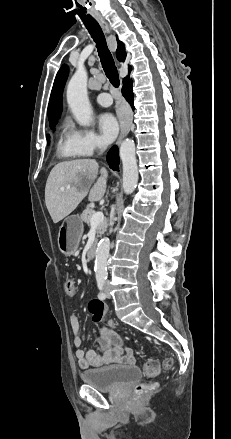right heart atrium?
<instances>
[{
	"mask_svg": "<svg viewBox=\"0 0 231 439\" xmlns=\"http://www.w3.org/2000/svg\"><path fill=\"white\" fill-rule=\"evenodd\" d=\"M73 143L82 156H90L95 151L104 149L105 142L90 129L76 128L73 130Z\"/></svg>",
	"mask_w": 231,
	"mask_h": 439,
	"instance_id": "1",
	"label": "right heart atrium"
}]
</instances>
